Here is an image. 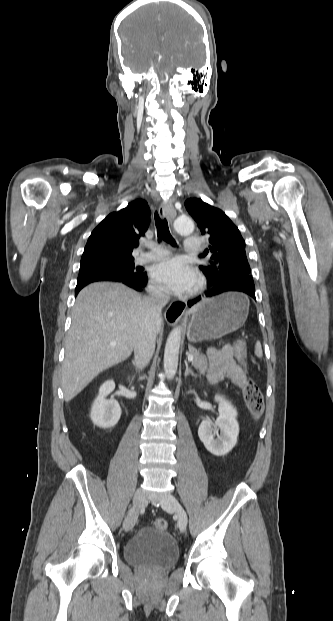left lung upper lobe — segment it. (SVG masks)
I'll use <instances>...</instances> for the list:
<instances>
[{"label":"left lung upper lobe","instance_id":"left-lung-upper-lobe-1","mask_svg":"<svg viewBox=\"0 0 333 621\" xmlns=\"http://www.w3.org/2000/svg\"><path fill=\"white\" fill-rule=\"evenodd\" d=\"M185 206L201 233L209 235L210 245L205 254L211 252V257L199 266L208 285L213 286L232 277L253 280L245 241L229 217L199 198L187 199Z\"/></svg>","mask_w":333,"mask_h":621}]
</instances>
